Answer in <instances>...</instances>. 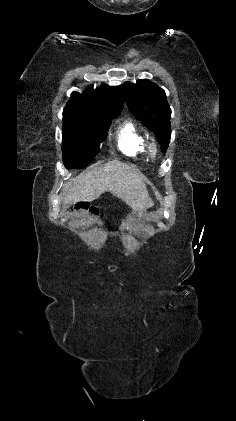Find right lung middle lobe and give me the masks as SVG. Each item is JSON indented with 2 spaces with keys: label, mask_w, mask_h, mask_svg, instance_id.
Segmentation results:
<instances>
[{
  "label": "right lung middle lobe",
  "mask_w": 236,
  "mask_h": 421,
  "mask_svg": "<svg viewBox=\"0 0 236 421\" xmlns=\"http://www.w3.org/2000/svg\"><path fill=\"white\" fill-rule=\"evenodd\" d=\"M121 109L69 107L63 113L62 154L66 168H83L98 154L111 120Z\"/></svg>",
  "instance_id": "right-lung-middle-lobe-1"
}]
</instances>
